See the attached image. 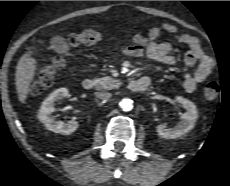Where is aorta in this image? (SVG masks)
Here are the masks:
<instances>
[{
  "instance_id": "aorta-1",
  "label": "aorta",
  "mask_w": 230,
  "mask_h": 186,
  "mask_svg": "<svg viewBox=\"0 0 230 186\" xmlns=\"http://www.w3.org/2000/svg\"><path fill=\"white\" fill-rule=\"evenodd\" d=\"M119 106L123 111H130L133 108V101L131 99L124 98L119 103Z\"/></svg>"
}]
</instances>
